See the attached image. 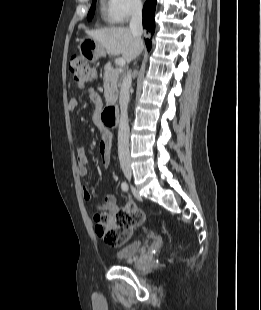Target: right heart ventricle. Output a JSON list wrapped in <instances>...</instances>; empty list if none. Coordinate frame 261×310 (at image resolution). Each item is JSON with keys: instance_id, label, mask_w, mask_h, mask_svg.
<instances>
[{"instance_id": "1", "label": "right heart ventricle", "mask_w": 261, "mask_h": 310, "mask_svg": "<svg viewBox=\"0 0 261 310\" xmlns=\"http://www.w3.org/2000/svg\"><path fill=\"white\" fill-rule=\"evenodd\" d=\"M100 13L102 19L109 24L115 23L112 17L111 0H100Z\"/></svg>"}]
</instances>
